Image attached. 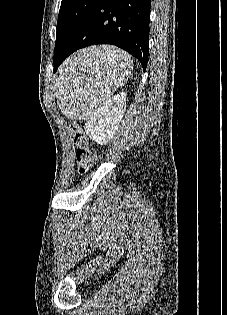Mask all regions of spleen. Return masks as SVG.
<instances>
[{
	"mask_svg": "<svg viewBox=\"0 0 227 315\" xmlns=\"http://www.w3.org/2000/svg\"><path fill=\"white\" fill-rule=\"evenodd\" d=\"M129 54L111 46L83 49L59 70L56 98L69 118L88 120L112 93L128 79L132 70Z\"/></svg>",
	"mask_w": 227,
	"mask_h": 315,
	"instance_id": "spleen-1",
	"label": "spleen"
}]
</instances>
